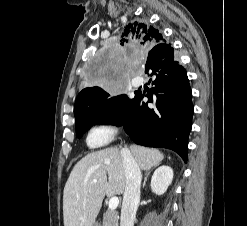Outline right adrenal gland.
<instances>
[{"label": "right adrenal gland", "mask_w": 247, "mask_h": 226, "mask_svg": "<svg viewBox=\"0 0 247 226\" xmlns=\"http://www.w3.org/2000/svg\"><path fill=\"white\" fill-rule=\"evenodd\" d=\"M156 166H157V165H156ZM156 166H154V167H156ZM150 171H151V169H149V170L146 172V174H145L144 182H143V187H145V185H146V181H147V178H148V176H149V174H150Z\"/></svg>", "instance_id": "2a0ac1e0"}]
</instances>
